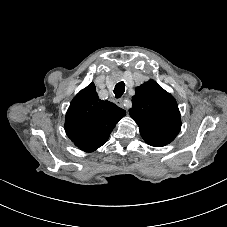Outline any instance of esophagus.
I'll return each instance as SVG.
<instances>
[{"mask_svg":"<svg viewBox=\"0 0 227 227\" xmlns=\"http://www.w3.org/2000/svg\"><path fill=\"white\" fill-rule=\"evenodd\" d=\"M115 102H116V104H117L119 107H121V108L124 107V105H123V99H117Z\"/></svg>","mask_w":227,"mask_h":227,"instance_id":"34e87169","label":"esophagus"}]
</instances>
